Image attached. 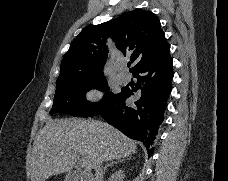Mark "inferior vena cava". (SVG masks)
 Wrapping results in <instances>:
<instances>
[{"instance_id":"1","label":"inferior vena cava","mask_w":228,"mask_h":181,"mask_svg":"<svg viewBox=\"0 0 228 181\" xmlns=\"http://www.w3.org/2000/svg\"><path fill=\"white\" fill-rule=\"evenodd\" d=\"M102 163V159L96 163L97 167L95 169V181H103L104 179V169L102 167Z\"/></svg>"}]
</instances>
